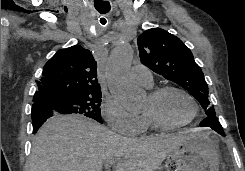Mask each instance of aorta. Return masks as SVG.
<instances>
[{
    "label": "aorta",
    "instance_id": "762f6f07",
    "mask_svg": "<svg viewBox=\"0 0 245 171\" xmlns=\"http://www.w3.org/2000/svg\"><path fill=\"white\" fill-rule=\"evenodd\" d=\"M133 51L129 43H120L110 54L105 75L110 92L128 111H140L144 107L145 93L130 79Z\"/></svg>",
    "mask_w": 245,
    "mask_h": 171
}]
</instances>
